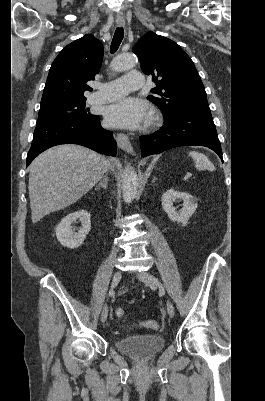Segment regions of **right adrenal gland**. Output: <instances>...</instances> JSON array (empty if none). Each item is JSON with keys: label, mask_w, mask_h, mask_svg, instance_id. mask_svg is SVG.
<instances>
[{"label": "right adrenal gland", "mask_w": 265, "mask_h": 401, "mask_svg": "<svg viewBox=\"0 0 265 401\" xmlns=\"http://www.w3.org/2000/svg\"><path fill=\"white\" fill-rule=\"evenodd\" d=\"M108 176H105V178H102V180H100L99 184H97L95 190H99L100 186H102V188H107V184H108Z\"/></svg>", "instance_id": "right-adrenal-gland-1"}]
</instances>
